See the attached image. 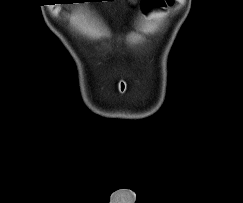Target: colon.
Masks as SVG:
<instances>
[{
    "label": "colon",
    "instance_id": "1",
    "mask_svg": "<svg viewBox=\"0 0 243 203\" xmlns=\"http://www.w3.org/2000/svg\"><path fill=\"white\" fill-rule=\"evenodd\" d=\"M173 0H143L142 8L145 13H151L171 5Z\"/></svg>",
    "mask_w": 243,
    "mask_h": 203
}]
</instances>
